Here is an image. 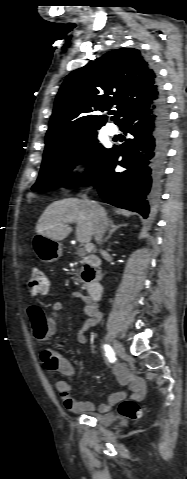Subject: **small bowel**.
<instances>
[{
  "label": "small bowel",
  "mask_w": 187,
  "mask_h": 479,
  "mask_svg": "<svg viewBox=\"0 0 187 479\" xmlns=\"http://www.w3.org/2000/svg\"><path fill=\"white\" fill-rule=\"evenodd\" d=\"M72 296L77 299L83 306L87 322L84 324L82 330L78 334L80 342H85L86 331L99 324L102 320V312L98 305L92 301L87 295L74 291ZM65 309L63 303H55L51 307L52 317L55 318ZM28 318L32 326L33 334L39 338L42 335L50 334L54 330V320H47L44 316L43 310L38 305H32L28 309ZM41 361L44 368L50 373H60L63 376L72 379L75 377V369L73 365L57 351L53 349H43L40 353ZM114 373L117 376L120 384L126 387V390L113 393L108 397L106 403H101L95 406L90 401H79L71 395V384L67 380H56L55 388L60 394L64 407L72 412H91L98 411L99 413H106L109 409L121 399L130 395L135 400H142L146 393L145 381L141 377L133 375L126 366L117 364L114 367Z\"/></svg>",
  "instance_id": "c3829d8e"
}]
</instances>
